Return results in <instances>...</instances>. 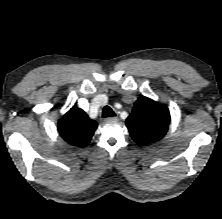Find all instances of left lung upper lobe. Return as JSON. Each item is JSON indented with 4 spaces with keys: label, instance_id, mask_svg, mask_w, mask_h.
I'll return each mask as SVG.
<instances>
[{
    "label": "left lung upper lobe",
    "instance_id": "5c2ea615",
    "mask_svg": "<svg viewBox=\"0 0 222 219\" xmlns=\"http://www.w3.org/2000/svg\"><path fill=\"white\" fill-rule=\"evenodd\" d=\"M169 122L170 114L165 105L141 97L126 119V126L135 142L146 145L160 140L166 134Z\"/></svg>",
    "mask_w": 222,
    "mask_h": 219
}]
</instances>
